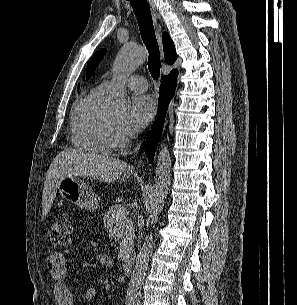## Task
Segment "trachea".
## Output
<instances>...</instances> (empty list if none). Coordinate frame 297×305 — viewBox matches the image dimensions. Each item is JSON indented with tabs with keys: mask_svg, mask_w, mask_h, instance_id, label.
<instances>
[{
	"mask_svg": "<svg viewBox=\"0 0 297 305\" xmlns=\"http://www.w3.org/2000/svg\"><path fill=\"white\" fill-rule=\"evenodd\" d=\"M138 20L142 40L149 52L148 69L153 79L160 75V53L156 40L150 7L147 0H129Z\"/></svg>",
	"mask_w": 297,
	"mask_h": 305,
	"instance_id": "trachea-1",
	"label": "trachea"
}]
</instances>
